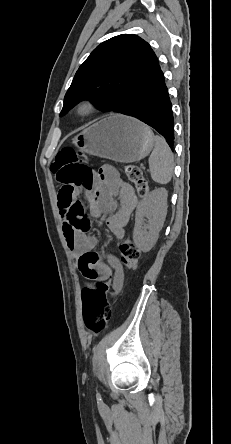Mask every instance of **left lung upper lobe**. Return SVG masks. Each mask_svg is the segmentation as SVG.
<instances>
[{"label": "left lung upper lobe", "instance_id": "left-lung-upper-lobe-1", "mask_svg": "<svg viewBox=\"0 0 231 444\" xmlns=\"http://www.w3.org/2000/svg\"><path fill=\"white\" fill-rule=\"evenodd\" d=\"M156 59L150 45L134 34L101 43L77 70L60 115L85 99L102 111L119 112Z\"/></svg>", "mask_w": 231, "mask_h": 444}]
</instances>
